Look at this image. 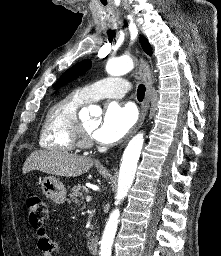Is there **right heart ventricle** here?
Wrapping results in <instances>:
<instances>
[{"mask_svg":"<svg viewBox=\"0 0 221 256\" xmlns=\"http://www.w3.org/2000/svg\"><path fill=\"white\" fill-rule=\"evenodd\" d=\"M88 101L80 91L69 93L48 110L40 130V146L53 151L72 152L77 147L78 110Z\"/></svg>","mask_w":221,"mask_h":256,"instance_id":"1","label":"right heart ventricle"}]
</instances>
